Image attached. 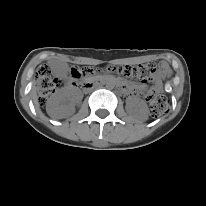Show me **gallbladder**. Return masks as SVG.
Returning <instances> with one entry per match:
<instances>
[{
	"mask_svg": "<svg viewBox=\"0 0 206 206\" xmlns=\"http://www.w3.org/2000/svg\"><path fill=\"white\" fill-rule=\"evenodd\" d=\"M50 66L54 76L64 77L68 72V65L66 63L51 61Z\"/></svg>",
	"mask_w": 206,
	"mask_h": 206,
	"instance_id": "obj_1",
	"label": "gallbladder"
}]
</instances>
